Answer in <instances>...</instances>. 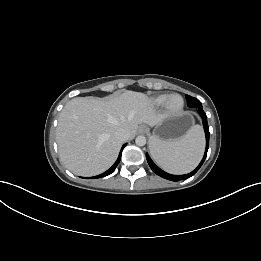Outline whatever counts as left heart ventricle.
Wrapping results in <instances>:
<instances>
[{
  "instance_id": "1",
  "label": "left heart ventricle",
  "mask_w": 261,
  "mask_h": 261,
  "mask_svg": "<svg viewBox=\"0 0 261 261\" xmlns=\"http://www.w3.org/2000/svg\"><path fill=\"white\" fill-rule=\"evenodd\" d=\"M179 104H180V99L179 98L173 99V101H172V105L173 106H178Z\"/></svg>"
}]
</instances>
